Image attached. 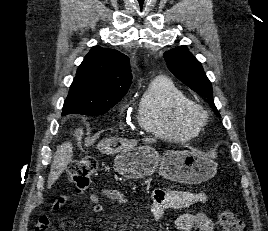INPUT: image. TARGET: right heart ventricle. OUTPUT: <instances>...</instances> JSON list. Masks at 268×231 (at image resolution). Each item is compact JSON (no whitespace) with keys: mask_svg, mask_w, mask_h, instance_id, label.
I'll list each match as a JSON object with an SVG mask.
<instances>
[{"mask_svg":"<svg viewBox=\"0 0 268 231\" xmlns=\"http://www.w3.org/2000/svg\"><path fill=\"white\" fill-rule=\"evenodd\" d=\"M187 96L170 79L158 77L143 93L137 107V119L142 129L156 137L188 141L200 128L190 127L182 117Z\"/></svg>","mask_w":268,"mask_h":231,"instance_id":"obj_1","label":"right heart ventricle"}]
</instances>
